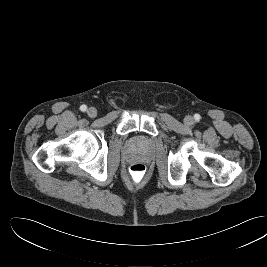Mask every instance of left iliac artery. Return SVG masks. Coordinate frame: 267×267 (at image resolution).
<instances>
[{"label":"left iliac artery","mask_w":267,"mask_h":267,"mask_svg":"<svg viewBox=\"0 0 267 267\" xmlns=\"http://www.w3.org/2000/svg\"><path fill=\"white\" fill-rule=\"evenodd\" d=\"M194 117H195V120H196V121H199V120H200V118H201L199 114H195V116H194Z\"/></svg>","instance_id":"left-iliac-artery-1"}]
</instances>
